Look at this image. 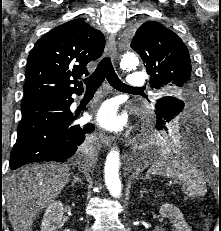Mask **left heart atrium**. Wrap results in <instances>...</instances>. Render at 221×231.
I'll list each match as a JSON object with an SVG mask.
<instances>
[{
    "instance_id": "obj_1",
    "label": "left heart atrium",
    "mask_w": 221,
    "mask_h": 231,
    "mask_svg": "<svg viewBox=\"0 0 221 231\" xmlns=\"http://www.w3.org/2000/svg\"><path fill=\"white\" fill-rule=\"evenodd\" d=\"M97 121L106 129L117 130L123 125L124 118L117 114V108L114 103L106 102L97 113Z\"/></svg>"
}]
</instances>
